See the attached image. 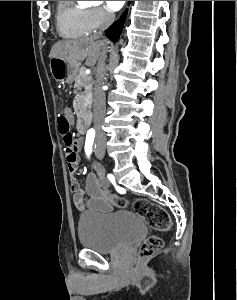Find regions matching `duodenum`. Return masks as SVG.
Returning a JSON list of instances; mask_svg holds the SVG:
<instances>
[{"mask_svg": "<svg viewBox=\"0 0 237 300\" xmlns=\"http://www.w3.org/2000/svg\"><path fill=\"white\" fill-rule=\"evenodd\" d=\"M89 121L88 118L85 116L80 117L78 124H77V130L80 134L86 133L88 129Z\"/></svg>", "mask_w": 237, "mask_h": 300, "instance_id": "obj_1", "label": "duodenum"}]
</instances>
